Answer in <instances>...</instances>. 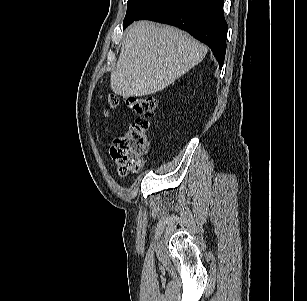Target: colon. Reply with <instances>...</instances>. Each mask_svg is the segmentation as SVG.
I'll list each match as a JSON object with an SVG mask.
<instances>
[{
    "label": "colon",
    "mask_w": 307,
    "mask_h": 301,
    "mask_svg": "<svg viewBox=\"0 0 307 301\" xmlns=\"http://www.w3.org/2000/svg\"><path fill=\"white\" fill-rule=\"evenodd\" d=\"M125 101L139 117L114 139L111 146L112 159L122 176L136 174L142 169L148 147L149 120L157 106L156 99L151 96H128ZM118 104L117 96L109 98V109L117 107Z\"/></svg>",
    "instance_id": "obj_1"
}]
</instances>
